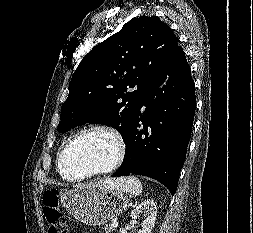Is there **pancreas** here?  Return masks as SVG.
Here are the masks:
<instances>
[{"label":"pancreas","instance_id":"obj_1","mask_svg":"<svg viewBox=\"0 0 253 233\" xmlns=\"http://www.w3.org/2000/svg\"><path fill=\"white\" fill-rule=\"evenodd\" d=\"M105 233H111L113 232L115 229L114 227H112L110 224H106L104 227H103Z\"/></svg>","mask_w":253,"mask_h":233}]
</instances>
